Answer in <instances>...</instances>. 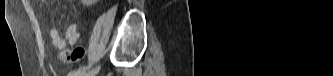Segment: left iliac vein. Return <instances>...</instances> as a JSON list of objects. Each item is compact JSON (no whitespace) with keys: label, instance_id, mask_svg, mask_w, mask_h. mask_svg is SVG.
Returning a JSON list of instances; mask_svg holds the SVG:
<instances>
[{"label":"left iliac vein","instance_id":"left-iliac-vein-1","mask_svg":"<svg viewBox=\"0 0 333 76\" xmlns=\"http://www.w3.org/2000/svg\"><path fill=\"white\" fill-rule=\"evenodd\" d=\"M99 70H100V67L98 66V67L88 71L87 73L86 72L82 73L80 76H87V75L88 76H94L99 72Z\"/></svg>","mask_w":333,"mask_h":76}]
</instances>
